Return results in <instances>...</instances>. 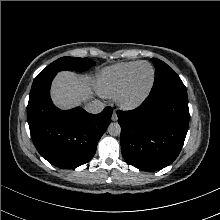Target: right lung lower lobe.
<instances>
[{"label":"right lung lower lobe","instance_id":"98d812e1","mask_svg":"<svg viewBox=\"0 0 220 220\" xmlns=\"http://www.w3.org/2000/svg\"><path fill=\"white\" fill-rule=\"evenodd\" d=\"M56 73L35 78L27 106L32 141L52 165L73 169L90 161L98 141L111 122L112 108L90 114L81 107L56 108L50 98V86Z\"/></svg>","mask_w":220,"mask_h":220}]
</instances>
